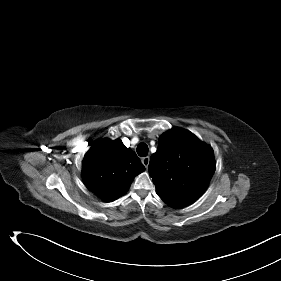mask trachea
Here are the masks:
<instances>
[{"mask_svg": "<svg viewBox=\"0 0 281 281\" xmlns=\"http://www.w3.org/2000/svg\"><path fill=\"white\" fill-rule=\"evenodd\" d=\"M137 153L140 157H145L147 156L148 154V146L147 144L145 143H140L138 146H137Z\"/></svg>", "mask_w": 281, "mask_h": 281, "instance_id": "trachea-1", "label": "trachea"}]
</instances>
